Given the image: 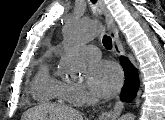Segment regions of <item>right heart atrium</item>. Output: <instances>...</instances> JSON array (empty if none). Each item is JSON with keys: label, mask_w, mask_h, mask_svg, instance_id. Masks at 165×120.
I'll list each match as a JSON object with an SVG mask.
<instances>
[{"label": "right heart atrium", "mask_w": 165, "mask_h": 120, "mask_svg": "<svg viewBox=\"0 0 165 120\" xmlns=\"http://www.w3.org/2000/svg\"><path fill=\"white\" fill-rule=\"evenodd\" d=\"M67 94L69 101L81 104L89 99V94L85 87L81 84H69L67 85Z\"/></svg>", "instance_id": "1"}]
</instances>
